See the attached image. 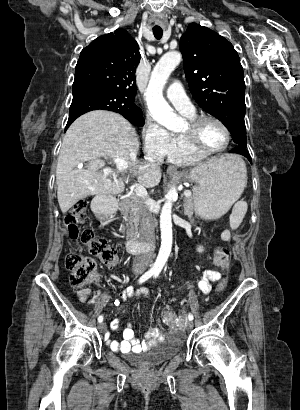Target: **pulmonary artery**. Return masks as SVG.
Instances as JSON below:
<instances>
[{"instance_id": "e3ab8cb5", "label": "pulmonary artery", "mask_w": 300, "mask_h": 410, "mask_svg": "<svg viewBox=\"0 0 300 410\" xmlns=\"http://www.w3.org/2000/svg\"><path fill=\"white\" fill-rule=\"evenodd\" d=\"M168 101L180 112L192 114L195 111L189 97L183 91L179 82H173L166 90Z\"/></svg>"}]
</instances>
